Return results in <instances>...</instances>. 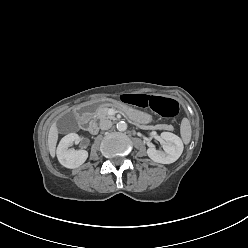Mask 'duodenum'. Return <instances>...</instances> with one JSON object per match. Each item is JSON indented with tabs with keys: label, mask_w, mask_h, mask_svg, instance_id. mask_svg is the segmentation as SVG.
Masks as SVG:
<instances>
[{
	"label": "duodenum",
	"mask_w": 248,
	"mask_h": 248,
	"mask_svg": "<svg viewBox=\"0 0 248 248\" xmlns=\"http://www.w3.org/2000/svg\"><path fill=\"white\" fill-rule=\"evenodd\" d=\"M90 104V103H89ZM89 104H85L82 107H80L77 111V117L81 123V125L84 127V129L88 132V133H96L98 130V126L95 122H88L91 114H87L84 111V108L89 105Z\"/></svg>",
	"instance_id": "410a0bca"
}]
</instances>
